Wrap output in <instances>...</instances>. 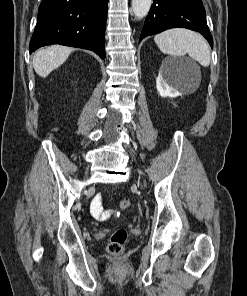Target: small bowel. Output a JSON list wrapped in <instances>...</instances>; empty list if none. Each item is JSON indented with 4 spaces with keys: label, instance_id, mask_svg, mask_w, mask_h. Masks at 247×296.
<instances>
[{
    "label": "small bowel",
    "instance_id": "1",
    "mask_svg": "<svg viewBox=\"0 0 247 296\" xmlns=\"http://www.w3.org/2000/svg\"><path fill=\"white\" fill-rule=\"evenodd\" d=\"M93 214L95 217H104L101 204L98 200H95L93 203Z\"/></svg>",
    "mask_w": 247,
    "mask_h": 296
}]
</instances>
